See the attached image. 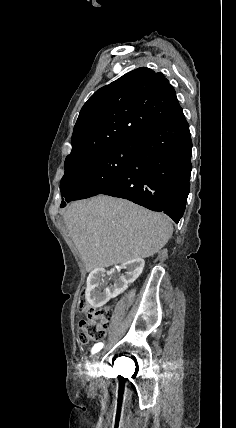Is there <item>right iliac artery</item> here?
<instances>
[{
	"instance_id": "82829eb1",
	"label": "right iliac artery",
	"mask_w": 236,
	"mask_h": 428,
	"mask_svg": "<svg viewBox=\"0 0 236 428\" xmlns=\"http://www.w3.org/2000/svg\"><path fill=\"white\" fill-rule=\"evenodd\" d=\"M102 348H103V343H101V342L97 343L93 346L91 352H92V354H95V353L99 352Z\"/></svg>"
}]
</instances>
